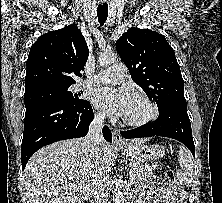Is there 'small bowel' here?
I'll return each instance as SVG.
<instances>
[{
	"mask_svg": "<svg viewBox=\"0 0 222 203\" xmlns=\"http://www.w3.org/2000/svg\"><path fill=\"white\" fill-rule=\"evenodd\" d=\"M144 192L149 203H185L184 192L165 183L149 184ZM137 203H143V201Z\"/></svg>",
	"mask_w": 222,
	"mask_h": 203,
	"instance_id": "1",
	"label": "small bowel"
}]
</instances>
